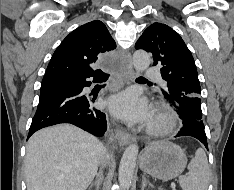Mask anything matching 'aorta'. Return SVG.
Here are the masks:
<instances>
[{"label":"aorta","instance_id":"obj_1","mask_svg":"<svg viewBox=\"0 0 234 190\" xmlns=\"http://www.w3.org/2000/svg\"><path fill=\"white\" fill-rule=\"evenodd\" d=\"M150 55L143 50H137L133 54V65L138 72L146 70L150 65ZM138 145L130 144L124 151L119 165L118 180L120 186L125 190L129 189L132 183L135 170L136 160L138 156Z\"/></svg>","mask_w":234,"mask_h":190}]
</instances>
